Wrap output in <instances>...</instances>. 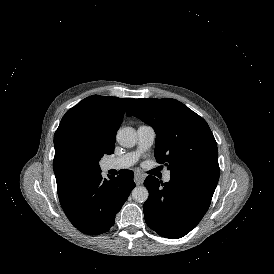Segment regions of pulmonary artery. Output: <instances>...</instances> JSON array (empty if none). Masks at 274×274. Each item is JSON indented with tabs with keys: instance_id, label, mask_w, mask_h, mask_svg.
Segmentation results:
<instances>
[{
	"instance_id": "e3ab8cb5",
	"label": "pulmonary artery",
	"mask_w": 274,
	"mask_h": 274,
	"mask_svg": "<svg viewBox=\"0 0 274 274\" xmlns=\"http://www.w3.org/2000/svg\"><path fill=\"white\" fill-rule=\"evenodd\" d=\"M155 139V132L148 125H141L137 129V148L134 151L128 152L120 157L108 160L105 162L106 170H122L127 169L137 163L141 155L150 149ZM171 175L167 172L164 177V182H169Z\"/></svg>"
}]
</instances>
